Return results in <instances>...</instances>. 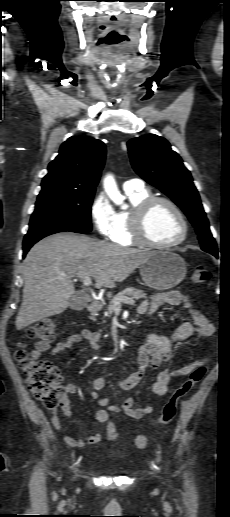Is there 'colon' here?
<instances>
[{
	"label": "colon",
	"mask_w": 230,
	"mask_h": 517,
	"mask_svg": "<svg viewBox=\"0 0 230 517\" xmlns=\"http://www.w3.org/2000/svg\"><path fill=\"white\" fill-rule=\"evenodd\" d=\"M209 279L210 272L205 267L196 266L193 269L191 281L194 284L204 285ZM55 335V324L49 319L39 320L30 324L25 331L27 338L39 339L44 342L52 341ZM15 358L35 398L46 408L52 409L57 407L64 394V388L61 385V374L57 367L51 362L29 353L23 345H20L16 351ZM207 370V367L204 365L194 368L188 378L172 392L163 406L161 414L155 421L157 426L167 425L173 420L179 401L190 392L194 385L203 379ZM107 432L110 439L114 440L116 438V432L113 426H110ZM147 441V436L140 434L135 438V445L138 449H144L147 445Z\"/></svg>",
	"instance_id": "5ec220e1"
}]
</instances>
